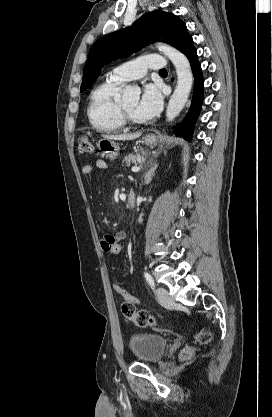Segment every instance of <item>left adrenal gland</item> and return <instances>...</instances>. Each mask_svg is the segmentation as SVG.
I'll return each mask as SVG.
<instances>
[{"instance_id":"1","label":"left adrenal gland","mask_w":272,"mask_h":417,"mask_svg":"<svg viewBox=\"0 0 272 417\" xmlns=\"http://www.w3.org/2000/svg\"><path fill=\"white\" fill-rule=\"evenodd\" d=\"M158 167V164L155 163V165L145 174V184L148 185L151 181L153 176L155 175V171Z\"/></svg>"}]
</instances>
